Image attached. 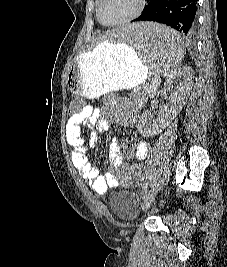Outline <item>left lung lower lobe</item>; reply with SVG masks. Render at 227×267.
I'll list each match as a JSON object with an SVG mask.
<instances>
[{
	"instance_id": "0a47b994",
	"label": "left lung lower lobe",
	"mask_w": 227,
	"mask_h": 267,
	"mask_svg": "<svg viewBox=\"0 0 227 267\" xmlns=\"http://www.w3.org/2000/svg\"><path fill=\"white\" fill-rule=\"evenodd\" d=\"M143 13L132 22L153 21L166 24L191 37L196 31L198 0H146Z\"/></svg>"
}]
</instances>
